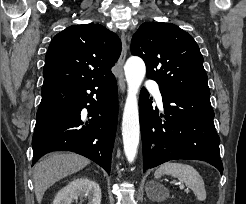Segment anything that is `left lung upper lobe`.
<instances>
[{
  "instance_id": "5c2ea615",
  "label": "left lung upper lobe",
  "mask_w": 246,
  "mask_h": 204,
  "mask_svg": "<svg viewBox=\"0 0 246 204\" xmlns=\"http://www.w3.org/2000/svg\"><path fill=\"white\" fill-rule=\"evenodd\" d=\"M131 53L146 64L160 87L210 91L203 56L193 37L169 23H143L132 37Z\"/></svg>"
}]
</instances>
